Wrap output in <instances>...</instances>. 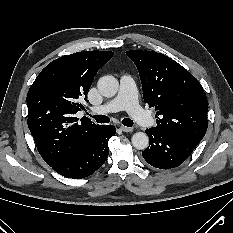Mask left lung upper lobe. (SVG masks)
<instances>
[{
    "label": "left lung upper lobe",
    "instance_id": "obj_1",
    "mask_svg": "<svg viewBox=\"0 0 233 233\" xmlns=\"http://www.w3.org/2000/svg\"><path fill=\"white\" fill-rule=\"evenodd\" d=\"M157 130L200 142L207 131L208 101L199 81L171 58L153 51L130 50Z\"/></svg>",
    "mask_w": 233,
    "mask_h": 233
}]
</instances>
